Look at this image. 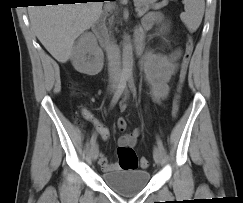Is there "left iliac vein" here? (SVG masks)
Returning <instances> with one entry per match:
<instances>
[{
  "instance_id": "left-iliac-vein-1",
  "label": "left iliac vein",
  "mask_w": 243,
  "mask_h": 203,
  "mask_svg": "<svg viewBox=\"0 0 243 203\" xmlns=\"http://www.w3.org/2000/svg\"><path fill=\"white\" fill-rule=\"evenodd\" d=\"M155 162L160 165L163 162V151L159 147H155L153 151Z\"/></svg>"
}]
</instances>
